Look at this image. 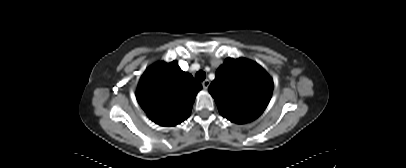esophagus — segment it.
I'll use <instances>...</instances> for the list:
<instances>
[{
	"instance_id": "esophagus-1",
	"label": "esophagus",
	"mask_w": 406,
	"mask_h": 168,
	"mask_svg": "<svg viewBox=\"0 0 406 168\" xmlns=\"http://www.w3.org/2000/svg\"><path fill=\"white\" fill-rule=\"evenodd\" d=\"M209 85H210V81H209L208 79H206V80H204V81L202 82V86H203V88H204L205 90L208 89Z\"/></svg>"
}]
</instances>
